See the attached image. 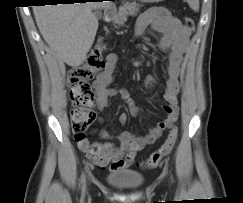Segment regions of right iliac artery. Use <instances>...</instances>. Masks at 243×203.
Returning a JSON list of instances; mask_svg holds the SVG:
<instances>
[{"label":"right iliac artery","instance_id":"82829eb1","mask_svg":"<svg viewBox=\"0 0 243 203\" xmlns=\"http://www.w3.org/2000/svg\"><path fill=\"white\" fill-rule=\"evenodd\" d=\"M85 182H86V176H85V174L83 173L82 175H81V185H82V189L84 190V188H85Z\"/></svg>","mask_w":243,"mask_h":203}]
</instances>
